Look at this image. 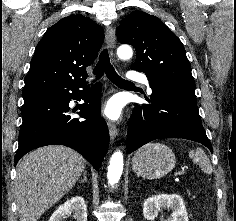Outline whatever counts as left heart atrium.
Listing matches in <instances>:
<instances>
[{
  "instance_id": "obj_1",
  "label": "left heart atrium",
  "mask_w": 236,
  "mask_h": 221,
  "mask_svg": "<svg viewBox=\"0 0 236 221\" xmlns=\"http://www.w3.org/2000/svg\"><path fill=\"white\" fill-rule=\"evenodd\" d=\"M121 112L122 106L116 99L109 100L103 110L104 115L111 120H118Z\"/></svg>"
}]
</instances>
